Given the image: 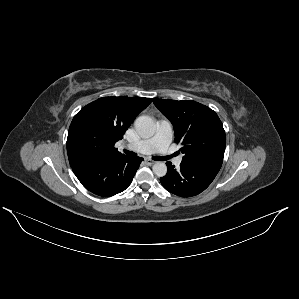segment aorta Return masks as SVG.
I'll use <instances>...</instances> for the list:
<instances>
[{"instance_id":"obj_1","label":"aorta","mask_w":299,"mask_h":299,"mask_svg":"<svg viewBox=\"0 0 299 299\" xmlns=\"http://www.w3.org/2000/svg\"><path fill=\"white\" fill-rule=\"evenodd\" d=\"M135 130L142 138H150L156 132V125L149 116H139L135 121ZM152 170L158 177H163L167 173V166L164 162H156Z\"/></svg>"}]
</instances>
